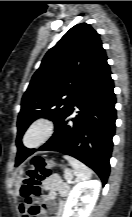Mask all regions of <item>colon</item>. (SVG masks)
<instances>
[{
  "label": "colon",
  "mask_w": 132,
  "mask_h": 217,
  "mask_svg": "<svg viewBox=\"0 0 132 217\" xmlns=\"http://www.w3.org/2000/svg\"><path fill=\"white\" fill-rule=\"evenodd\" d=\"M51 168L52 163L41 156H35L31 159L21 186V195L25 199L39 195L41 182L50 175ZM39 213V206H32L29 209V217H37Z\"/></svg>",
  "instance_id": "obj_1"
}]
</instances>
